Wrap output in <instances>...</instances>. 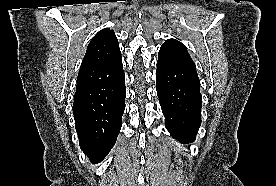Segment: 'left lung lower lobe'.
<instances>
[{
	"mask_svg": "<svg viewBox=\"0 0 276 186\" xmlns=\"http://www.w3.org/2000/svg\"><path fill=\"white\" fill-rule=\"evenodd\" d=\"M156 89L171 136L182 144L193 142L201 124L202 100L196 69L158 61Z\"/></svg>",
	"mask_w": 276,
	"mask_h": 186,
	"instance_id": "obj_1",
	"label": "left lung lower lobe"
}]
</instances>
